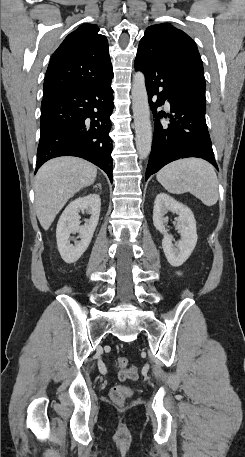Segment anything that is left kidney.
Segmentation results:
<instances>
[{"label":"left kidney","instance_id":"1","mask_svg":"<svg viewBox=\"0 0 245 457\" xmlns=\"http://www.w3.org/2000/svg\"><path fill=\"white\" fill-rule=\"evenodd\" d=\"M176 212L179 214L175 220H177V229L181 231V241L172 243V235H168V229H165L164 222H167L168 216H165L166 212ZM153 224L156 226L157 231H160L163 235L162 247L164 255L172 265V267H180L188 257H190L193 249L197 243V229L196 220L192 210L186 204L178 202L169 194L160 192L157 194L153 208Z\"/></svg>","mask_w":245,"mask_h":457}]
</instances>
